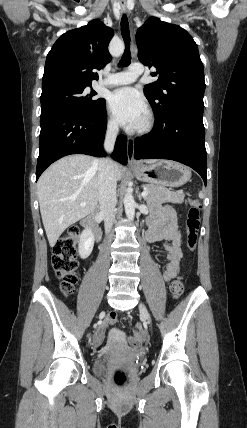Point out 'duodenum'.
I'll use <instances>...</instances> for the list:
<instances>
[{
  "label": "duodenum",
  "instance_id": "410a0bca",
  "mask_svg": "<svg viewBox=\"0 0 247 428\" xmlns=\"http://www.w3.org/2000/svg\"><path fill=\"white\" fill-rule=\"evenodd\" d=\"M84 226L90 229V231L95 236L96 240L100 239V229L95 221L93 216L86 218L83 222Z\"/></svg>",
  "mask_w": 247,
  "mask_h": 428
}]
</instances>
